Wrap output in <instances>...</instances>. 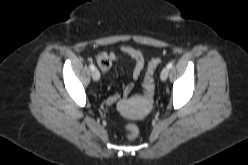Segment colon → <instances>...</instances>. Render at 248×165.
Instances as JSON below:
<instances>
[{"mask_svg":"<svg viewBox=\"0 0 248 165\" xmlns=\"http://www.w3.org/2000/svg\"><path fill=\"white\" fill-rule=\"evenodd\" d=\"M99 59H97V62ZM161 64V59L160 58H153L147 67V72L144 77L143 83H142V90L144 96L147 98H151L154 93V72L158 68V66ZM126 137L130 140H134L138 137L139 135V129L136 125L134 124H128L124 127Z\"/></svg>","mask_w":248,"mask_h":165,"instance_id":"5ec220e1","label":"colon"}]
</instances>
